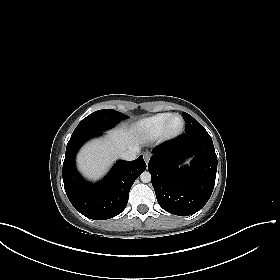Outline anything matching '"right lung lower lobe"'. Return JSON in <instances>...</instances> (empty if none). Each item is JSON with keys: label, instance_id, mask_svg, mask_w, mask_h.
Instances as JSON below:
<instances>
[{"label": "right lung lower lobe", "instance_id": "obj_1", "mask_svg": "<svg viewBox=\"0 0 280 280\" xmlns=\"http://www.w3.org/2000/svg\"><path fill=\"white\" fill-rule=\"evenodd\" d=\"M101 133L71 136L63 163V182L68 199L78 212L94 220L119 215L127 205L134 181L146 169L143 156H139L134 161H119L98 183L86 182L76 170L75 155L85 141Z\"/></svg>", "mask_w": 280, "mask_h": 280}]
</instances>
